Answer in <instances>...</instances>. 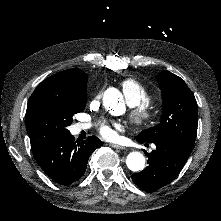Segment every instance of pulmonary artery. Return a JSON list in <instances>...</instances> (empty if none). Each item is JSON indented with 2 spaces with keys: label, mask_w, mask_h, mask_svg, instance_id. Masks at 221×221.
Instances as JSON below:
<instances>
[{
  "label": "pulmonary artery",
  "mask_w": 221,
  "mask_h": 221,
  "mask_svg": "<svg viewBox=\"0 0 221 221\" xmlns=\"http://www.w3.org/2000/svg\"><path fill=\"white\" fill-rule=\"evenodd\" d=\"M123 88H122V95L124 98H134L135 95L138 94L139 89V82L135 81L134 79H127L123 82ZM81 129H87L89 128L88 124H80Z\"/></svg>",
  "instance_id": "e3ab8cb5"
}]
</instances>
